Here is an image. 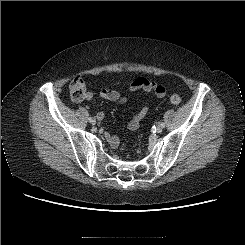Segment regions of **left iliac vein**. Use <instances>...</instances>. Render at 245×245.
<instances>
[{
  "label": "left iliac vein",
  "mask_w": 245,
  "mask_h": 245,
  "mask_svg": "<svg viewBox=\"0 0 245 245\" xmlns=\"http://www.w3.org/2000/svg\"><path fill=\"white\" fill-rule=\"evenodd\" d=\"M163 131V127L161 125H158L156 128L157 133H161Z\"/></svg>",
  "instance_id": "obj_1"
}]
</instances>
